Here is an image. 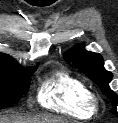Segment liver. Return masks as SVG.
Masks as SVG:
<instances>
[{
	"label": "liver",
	"instance_id": "6515ba94",
	"mask_svg": "<svg viewBox=\"0 0 118 123\" xmlns=\"http://www.w3.org/2000/svg\"><path fill=\"white\" fill-rule=\"evenodd\" d=\"M0 123H69V121L47 114L22 116L19 114L1 115Z\"/></svg>",
	"mask_w": 118,
	"mask_h": 123
}]
</instances>
